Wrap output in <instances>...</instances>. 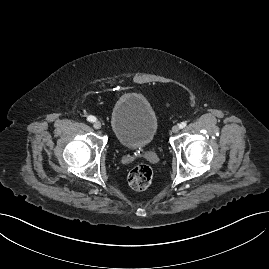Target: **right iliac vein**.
Segmentation results:
<instances>
[{"label": "right iliac vein", "mask_w": 269, "mask_h": 269, "mask_svg": "<svg viewBox=\"0 0 269 269\" xmlns=\"http://www.w3.org/2000/svg\"><path fill=\"white\" fill-rule=\"evenodd\" d=\"M93 127L95 129H100L101 128V123L99 121H95L94 124H93Z\"/></svg>", "instance_id": "1"}]
</instances>
